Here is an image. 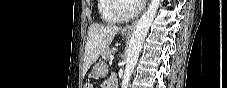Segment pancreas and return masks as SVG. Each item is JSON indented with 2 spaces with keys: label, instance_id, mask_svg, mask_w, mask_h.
<instances>
[{
  "label": "pancreas",
  "instance_id": "cf45deb5",
  "mask_svg": "<svg viewBox=\"0 0 227 88\" xmlns=\"http://www.w3.org/2000/svg\"><path fill=\"white\" fill-rule=\"evenodd\" d=\"M112 55V50L110 48H107L105 51L102 53V59L103 60H108L110 56Z\"/></svg>",
  "mask_w": 227,
  "mask_h": 88
}]
</instances>
